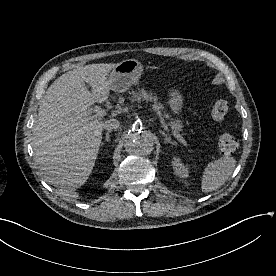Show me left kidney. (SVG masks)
Wrapping results in <instances>:
<instances>
[{
    "mask_svg": "<svg viewBox=\"0 0 276 276\" xmlns=\"http://www.w3.org/2000/svg\"><path fill=\"white\" fill-rule=\"evenodd\" d=\"M172 167L176 176L181 178H187L189 176L188 166L184 165L179 157L173 158Z\"/></svg>",
    "mask_w": 276,
    "mask_h": 276,
    "instance_id": "1",
    "label": "left kidney"
}]
</instances>
